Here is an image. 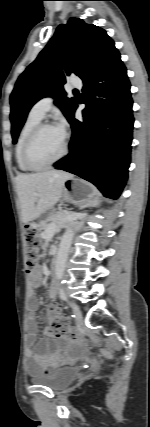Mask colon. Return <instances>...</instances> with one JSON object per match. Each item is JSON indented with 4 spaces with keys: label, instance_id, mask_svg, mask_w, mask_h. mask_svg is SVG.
I'll list each match as a JSON object with an SVG mask.
<instances>
[{
    "label": "colon",
    "instance_id": "colon-1",
    "mask_svg": "<svg viewBox=\"0 0 150 427\" xmlns=\"http://www.w3.org/2000/svg\"><path fill=\"white\" fill-rule=\"evenodd\" d=\"M24 237L27 243L25 264L28 272L33 271L38 264L40 256V240L36 229L32 225L25 226ZM49 326L48 334L55 337H68L72 340H78V335L70 329L56 306H50L47 311Z\"/></svg>",
    "mask_w": 150,
    "mask_h": 427
}]
</instances>
